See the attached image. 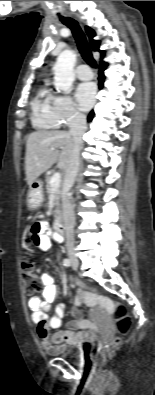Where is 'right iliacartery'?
I'll use <instances>...</instances> for the list:
<instances>
[{
  "label": "right iliac artery",
  "instance_id": "82829eb1",
  "mask_svg": "<svg viewBox=\"0 0 155 395\" xmlns=\"http://www.w3.org/2000/svg\"><path fill=\"white\" fill-rule=\"evenodd\" d=\"M63 265L66 266V267H69L71 265L70 260L69 259H64L63 260Z\"/></svg>",
  "mask_w": 155,
  "mask_h": 395
}]
</instances>
